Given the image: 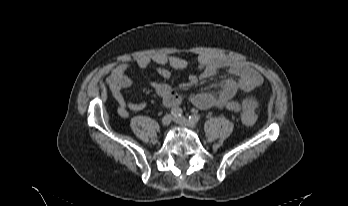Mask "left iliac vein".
Here are the masks:
<instances>
[{
    "label": "left iliac vein",
    "mask_w": 348,
    "mask_h": 206,
    "mask_svg": "<svg viewBox=\"0 0 348 206\" xmlns=\"http://www.w3.org/2000/svg\"><path fill=\"white\" fill-rule=\"evenodd\" d=\"M174 122L179 124V125H182V126H185V127H188V128H194L196 127V123H192L188 118L186 117H175L174 118Z\"/></svg>",
    "instance_id": "left-iliac-vein-1"
}]
</instances>
